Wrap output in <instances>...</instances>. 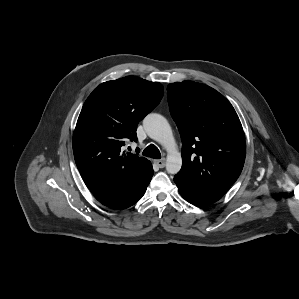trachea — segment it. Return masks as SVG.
Instances as JSON below:
<instances>
[{
    "label": "trachea",
    "instance_id": "obj_1",
    "mask_svg": "<svg viewBox=\"0 0 299 299\" xmlns=\"http://www.w3.org/2000/svg\"><path fill=\"white\" fill-rule=\"evenodd\" d=\"M142 154L146 157H150V158H154V159L161 158V153H160L159 149L153 144H150L149 146H147L144 149V151L142 152Z\"/></svg>",
    "mask_w": 299,
    "mask_h": 299
}]
</instances>
